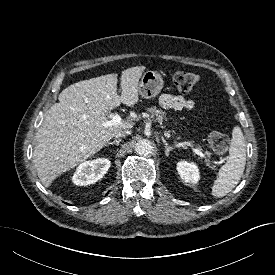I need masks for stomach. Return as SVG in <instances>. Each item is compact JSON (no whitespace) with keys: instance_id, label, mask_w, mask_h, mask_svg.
<instances>
[{"instance_id":"obj_1","label":"stomach","mask_w":275,"mask_h":275,"mask_svg":"<svg viewBox=\"0 0 275 275\" xmlns=\"http://www.w3.org/2000/svg\"><path fill=\"white\" fill-rule=\"evenodd\" d=\"M163 88V78L156 71H146L139 82L138 91L142 98L151 99Z\"/></svg>"}]
</instances>
